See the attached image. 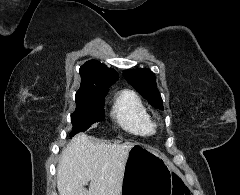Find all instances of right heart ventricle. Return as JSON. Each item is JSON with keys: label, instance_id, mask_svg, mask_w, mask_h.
<instances>
[{"label": "right heart ventricle", "instance_id": "obj_1", "mask_svg": "<svg viewBox=\"0 0 240 195\" xmlns=\"http://www.w3.org/2000/svg\"><path fill=\"white\" fill-rule=\"evenodd\" d=\"M110 115L122 129L148 135L154 130L152 118L142 99L132 91L121 93L115 100Z\"/></svg>", "mask_w": 240, "mask_h": 195}]
</instances>
